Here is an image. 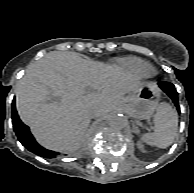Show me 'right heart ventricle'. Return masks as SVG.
<instances>
[{
    "label": "right heart ventricle",
    "instance_id": "obj_1",
    "mask_svg": "<svg viewBox=\"0 0 194 193\" xmlns=\"http://www.w3.org/2000/svg\"><path fill=\"white\" fill-rule=\"evenodd\" d=\"M117 62L127 74L138 79L149 77L153 69L147 61L136 57L121 58Z\"/></svg>",
    "mask_w": 194,
    "mask_h": 193
}]
</instances>
